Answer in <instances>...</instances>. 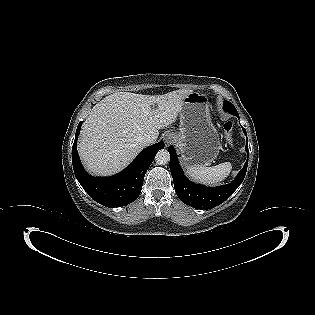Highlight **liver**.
Here are the masks:
<instances>
[{
    "label": "liver",
    "mask_w": 315,
    "mask_h": 315,
    "mask_svg": "<svg viewBox=\"0 0 315 315\" xmlns=\"http://www.w3.org/2000/svg\"><path fill=\"white\" fill-rule=\"evenodd\" d=\"M192 90L163 95L116 92L97 103L86 118L78 152L87 171L112 175L124 169L145 147L141 137L156 139L160 129L177 120L183 99Z\"/></svg>",
    "instance_id": "6515ba94"
}]
</instances>
